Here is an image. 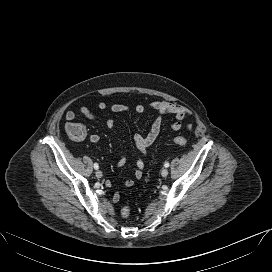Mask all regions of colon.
Here are the masks:
<instances>
[{
    "instance_id": "obj_1",
    "label": "colon",
    "mask_w": 272,
    "mask_h": 272,
    "mask_svg": "<svg viewBox=\"0 0 272 272\" xmlns=\"http://www.w3.org/2000/svg\"><path fill=\"white\" fill-rule=\"evenodd\" d=\"M66 132L68 136L75 141L83 140L86 137L85 127L76 122L67 123ZM174 143L179 147H184L186 145V139L182 136H177L174 138ZM122 214L124 217H127L129 215V209L124 207L122 209Z\"/></svg>"
}]
</instances>
